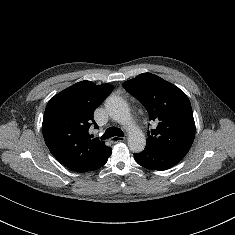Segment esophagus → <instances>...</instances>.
<instances>
[{
    "instance_id": "1",
    "label": "esophagus",
    "mask_w": 235,
    "mask_h": 235,
    "mask_svg": "<svg viewBox=\"0 0 235 235\" xmlns=\"http://www.w3.org/2000/svg\"><path fill=\"white\" fill-rule=\"evenodd\" d=\"M125 140V137H120V136H114L111 138V142L112 143H118V142H122Z\"/></svg>"
}]
</instances>
